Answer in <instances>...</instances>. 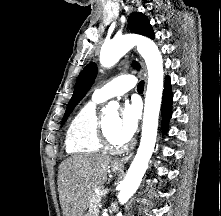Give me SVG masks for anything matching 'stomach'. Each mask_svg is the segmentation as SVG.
Returning a JSON list of instances; mask_svg holds the SVG:
<instances>
[{
  "mask_svg": "<svg viewBox=\"0 0 221 216\" xmlns=\"http://www.w3.org/2000/svg\"><path fill=\"white\" fill-rule=\"evenodd\" d=\"M112 169L114 170V171H118L119 169L117 168V167H115V166H112ZM85 216H90V214H86Z\"/></svg>",
  "mask_w": 221,
  "mask_h": 216,
  "instance_id": "1",
  "label": "stomach"
}]
</instances>
